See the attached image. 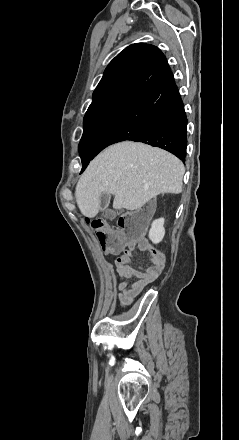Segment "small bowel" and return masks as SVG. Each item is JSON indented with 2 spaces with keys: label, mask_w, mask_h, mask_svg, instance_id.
<instances>
[{
  "label": "small bowel",
  "mask_w": 239,
  "mask_h": 440,
  "mask_svg": "<svg viewBox=\"0 0 239 440\" xmlns=\"http://www.w3.org/2000/svg\"><path fill=\"white\" fill-rule=\"evenodd\" d=\"M135 249L148 257L149 266L136 269L131 265ZM116 266L118 277L121 279L118 283V289L121 292L120 300L123 303H129L161 274L165 266V258L162 253L147 243H133L119 253Z\"/></svg>",
  "instance_id": "small-bowel-1"
}]
</instances>
